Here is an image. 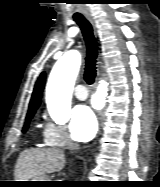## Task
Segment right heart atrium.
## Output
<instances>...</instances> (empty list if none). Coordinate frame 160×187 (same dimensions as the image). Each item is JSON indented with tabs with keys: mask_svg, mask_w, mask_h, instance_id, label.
<instances>
[{
	"mask_svg": "<svg viewBox=\"0 0 160 187\" xmlns=\"http://www.w3.org/2000/svg\"><path fill=\"white\" fill-rule=\"evenodd\" d=\"M43 139L48 146L69 147L74 145V141L63 125L46 120L43 128Z\"/></svg>",
	"mask_w": 160,
	"mask_h": 187,
	"instance_id": "right-heart-atrium-1",
	"label": "right heart atrium"
}]
</instances>
